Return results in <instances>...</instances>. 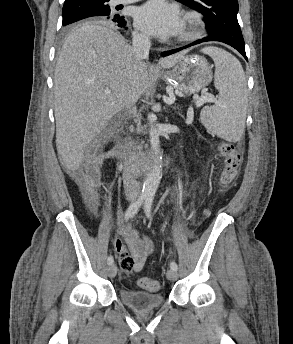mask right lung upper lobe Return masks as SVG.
Instances as JSON below:
<instances>
[{
    "instance_id": "cb5924a9",
    "label": "right lung upper lobe",
    "mask_w": 293,
    "mask_h": 344,
    "mask_svg": "<svg viewBox=\"0 0 293 344\" xmlns=\"http://www.w3.org/2000/svg\"><path fill=\"white\" fill-rule=\"evenodd\" d=\"M77 1H81V0H65L64 4H69V3H73V2H77Z\"/></svg>"
}]
</instances>
